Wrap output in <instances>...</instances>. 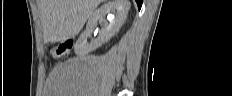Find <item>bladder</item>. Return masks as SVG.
<instances>
[{
    "label": "bladder",
    "mask_w": 232,
    "mask_h": 96,
    "mask_svg": "<svg viewBox=\"0 0 232 96\" xmlns=\"http://www.w3.org/2000/svg\"><path fill=\"white\" fill-rule=\"evenodd\" d=\"M47 89H50V86H49V85H47ZM50 92H54V91H50Z\"/></svg>",
    "instance_id": "31cf9c89"
}]
</instances>
